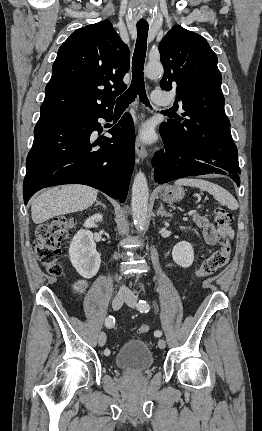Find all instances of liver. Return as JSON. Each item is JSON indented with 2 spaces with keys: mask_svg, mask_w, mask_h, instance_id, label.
<instances>
[{
  "mask_svg": "<svg viewBox=\"0 0 262 431\" xmlns=\"http://www.w3.org/2000/svg\"><path fill=\"white\" fill-rule=\"evenodd\" d=\"M97 198V190L84 185H64L44 191L31 201V216L35 224L55 216L83 211Z\"/></svg>",
  "mask_w": 262,
  "mask_h": 431,
  "instance_id": "1",
  "label": "liver"
}]
</instances>
